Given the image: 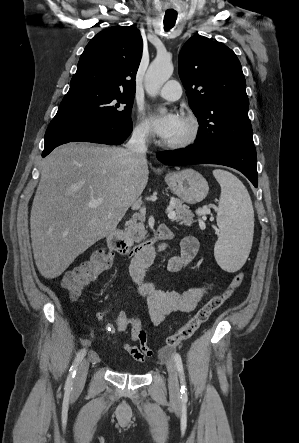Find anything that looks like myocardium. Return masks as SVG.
<instances>
[{
    "label": "myocardium",
    "mask_w": 299,
    "mask_h": 443,
    "mask_svg": "<svg viewBox=\"0 0 299 443\" xmlns=\"http://www.w3.org/2000/svg\"><path fill=\"white\" fill-rule=\"evenodd\" d=\"M188 127L187 134L178 140H164L162 146L171 150H184L194 146L200 139L202 127L199 119L193 114H185L181 118Z\"/></svg>",
    "instance_id": "f54148a6"
}]
</instances>
